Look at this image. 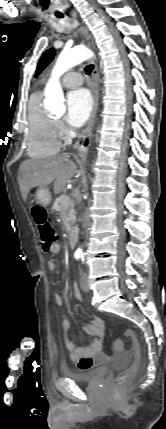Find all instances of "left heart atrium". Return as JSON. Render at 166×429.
<instances>
[{
	"instance_id": "39dd6f15",
	"label": "left heart atrium",
	"mask_w": 166,
	"mask_h": 429,
	"mask_svg": "<svg viewBox=\"0 0 166 429\" xmlns=\"http://www.w3.org/2000/svg\"><path fill=\"white\" fill-rule=\"evenodd\" d=\"M66 121L71 127H79L88 119L92 110V97L85 88H77L67 95Z\"/></svg>"
}]
</instances>
